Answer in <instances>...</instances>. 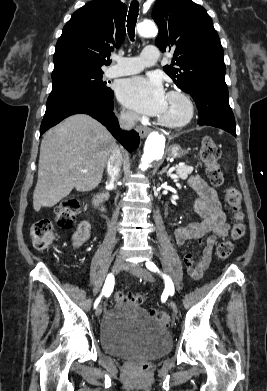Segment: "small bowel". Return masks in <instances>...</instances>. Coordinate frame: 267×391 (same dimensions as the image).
<instances>
[{
    "label": "small bowel",
    "instance_id": "obj_1",
    "mask_svg": "<svg viewBox=\"0 0 267 391\" xmlns=\"http://www.w3.org/2000/svg\"><path fill=\"white\" fill-rule=\"evenodd\" d=\"M190 185L198 196L193 208L202 221L176 228L174 241L177 246H182L191 240L203 245L202 253L198 259H195L191 253H187L184 257L189 274L192 278L198 279L211 261L217 240L227 236L230 226L226 223L225 214L214 188L199 176L192 177ZM90 235V224L81 222L71 235L72 248L82 247L89 240Z\"/></svg>",
    "mask_w": 267,
    "mask_h": 391
}]
</instances>
